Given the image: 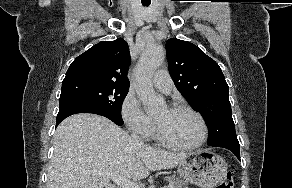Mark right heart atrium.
<instances>
[{"instance_id": "d8ad5b80", "label": "right heart atrium", "mask_w": 292, "mask_h": 188, "mask_svg": "<svg viewBox=\"0 0 292 188\" xmlns=\"http://www.w3.org/2000/svg\"><path fill=\"white\" fill-rule=\"evenodd\" d=\"M121 115L128 129L142 139L150 137L154 131L153 120L143 111L138 100L127 94L121 106Z\"/></svg>"}]
</instances>
